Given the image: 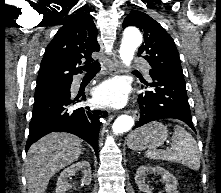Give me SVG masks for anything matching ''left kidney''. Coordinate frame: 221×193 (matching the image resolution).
<instances>
[{
  "label": "left kidney",
  "mask_w": 221,
  "mask_h": 193,
  "mask_svg": "<svg viewBox=\"0 0 221 193\" xmlns=\"http://www.w3.org/2000/svg\"><path fill=\"white\" fill-rule=\"evenodd\" d=\"M151 172L161 175L162 181L166 183L165 191L167 193H178V182L176 178L160 166H140L138 168V170L136 171L135 182L140 191L144 193H151L148 184L145 182L146 175Z\"/></svg>",
  "instance_id": "1"
}]
</instances>
